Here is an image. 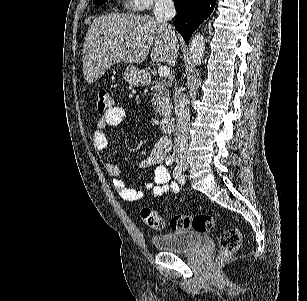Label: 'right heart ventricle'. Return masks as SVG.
Segmentation results:
<instances>
[{
	"mask_svg": "<svg viewBox=\"0 0 307 301\" xmlns=\"http://www.w3.org/2000/svg\"><path fill=\"white\" fill-rule=\"evenodd\" d=\"M136 2H137V1H133V8H137V7H136Z\"/></svg>",
	"mask_w": 307,
	"mask_h": 301,
	"instance_id": "e07e8e85",
	"label": "right heart ventricle"
}]
</instances>
